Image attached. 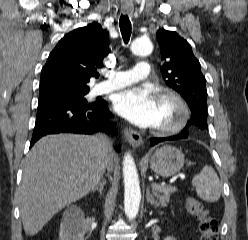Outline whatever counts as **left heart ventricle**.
<instances>
[{
  "label": "left heart ventricle",
  "mask_w": 248,
  "mask_h": 240,
  "mask_svg": "<svg viewBox=\"0 0 248 240\" xmlns=\"http://www.w3.org/2000/svg\"><path fill=\"white\" fill-rule=\"evenodd\" d=\"M160 122L158 126L164 125L173 120L177 115L175 105L167 100L158 99Z\"/></svg>",
  "instance_id": "b2bd125f"
}]
</instances>
